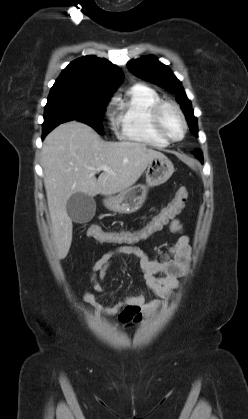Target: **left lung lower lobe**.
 Instances as JSON below:
<instances>
[{"label":"left lung lower lobe","mask_w":248,"mask_h":419,"mask_svg":"<svg viewBox=\"0 0 248 419\" xmlns=\"http://www.w3.org/2000/svg\"><path fill=\"white\" fill-rule=\"evenodd\" d=\"M195 156L203 163V156L201 152L195 153Z\"/></svg>","instance_id":"obj_1"}]
</instances>
